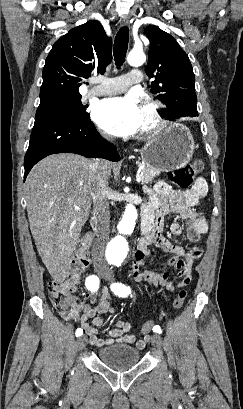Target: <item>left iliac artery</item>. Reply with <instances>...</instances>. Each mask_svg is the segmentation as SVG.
I'll list each match as a JSON object with an SVG mask.
<instances>
[{"mask_svg":"<svg viewBox=\"0 0 243 409\" xmlns=\"http://www.w3.org/2000/svg\"><path fill=\"white\" fill-rule=\"evenodd\" d=\"M111 290H112L116 295H118V296H120V297H126V296L129 295L130 292H131L130 287L125 286V285L122 284V283H114V284H112V285H111ZM153 331H154L155 333H158V334H161V333H162V330H161L160 326H155V327L153 328Z\"/></svg>","mask_w":243,"mask_h":409,"instance_id":"44dca946","label":"left iliac artery"}]
</instances>
